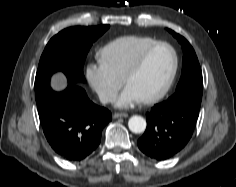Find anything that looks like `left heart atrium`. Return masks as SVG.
I'll return each mask as SVG.
<instances>
[{
    "label": "left heart atrium",
    "instance_id": "39dd6f15",
    "mask_svg": "<svg viewBox=\"0 0 236 187\" xmlns=\"http://www.w3.org/2000/svg\"><path fill=\"white\" fill-rule=\"evenodd\" d=\"M141 99L138 94L129 86H126L117 100V106L121 108H128L133 106Z\"/></svg>",
    "mask_w": 236,
    "mask_h": 187
}]
</instances>
